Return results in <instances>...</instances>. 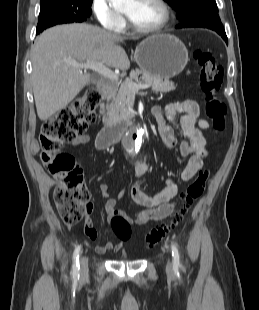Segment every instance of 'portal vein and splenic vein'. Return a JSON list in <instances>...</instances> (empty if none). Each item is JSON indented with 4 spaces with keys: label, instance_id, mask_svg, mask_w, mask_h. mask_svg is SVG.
<instances>
[{
    "label": "portal vein and splenic vein",
    "instance_id": "portal-vein-and-splenic-vein-1",
    "mask_svg": "<svg viewBox=\"0 0 259 310\" xmlns=\"http://www.w3.org/2000/svg\"><path fill=\"white\" fill-rule=\"evenodd\" d=\"M71 65L77 68L81 69H91L93 71H96L100 75L113 80L118 81L119 77L116 75L111 69L103 65L102 62H96V61H86L85 63H77L75 61L70 62ZM127 87L131 92H137L140 89H147L150 87L149 84H141V83H134V82H128Z\"/></svg>",
    "mask_w": 259,
    "mask_h": 310
}]
</instances>
